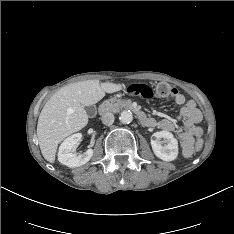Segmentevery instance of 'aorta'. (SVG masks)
Instances as JSON below:
<instances>
[{"instance_id": "1", "label": "aorta", "mask_w": 234, "mask_h": 234, "mask_svg": "<svg viewBox=\"0 0 234 234\" xmlns=\"http://www.w3.org/2000/svg\"><path fill=\"white\" fill-rule=\"evenodd\" d=\"M120 122L123 124H129L133 120V115L132 112L129 110H124L121 112L120 117H119Z\"/></svg>"}]
</instances>
